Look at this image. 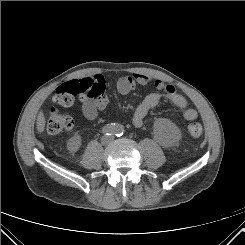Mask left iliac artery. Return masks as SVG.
<instances>
[{
	"mask_svg": "<svg viewBox=\"0 0 245 245\" xmlns=\"http://www.w3.org/2000/svg\"><path fill=\"white\" fill-rule=\"evenodd\" d=\"M123 133H124V128H123V126H121V125H116V127H115V135L119 137V136H122Z\"/></svg>",
	"mask_w": 245,
	"mask_h": 245,
	"instance_id": "44dca946",
	"label": "left iliac artery"
}]
</instances>
